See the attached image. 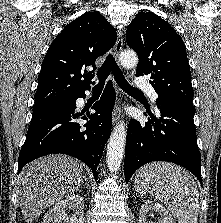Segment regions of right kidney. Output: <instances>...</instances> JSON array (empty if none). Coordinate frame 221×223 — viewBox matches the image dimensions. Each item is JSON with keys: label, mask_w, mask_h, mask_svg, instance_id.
Here are the masks:
<instances>
[{"label": "right kidney", "mask_w": 221, "mask_h": 223, "mask_svg": "<svg viewBox=\"0 0 221 223\" xmlns=\"http://www.w3.org/2000/svg\"><path fill=\"white\" fill-rule=\"evenodd\" d=\"M66 209H71L74 214L68 216ZM84 199L80 195H71L50 208L43 218L42 223H83Z\"/></svg>", "instance_id": "right-kidney-1"}]
</instances>
